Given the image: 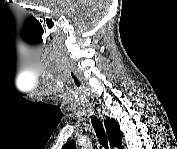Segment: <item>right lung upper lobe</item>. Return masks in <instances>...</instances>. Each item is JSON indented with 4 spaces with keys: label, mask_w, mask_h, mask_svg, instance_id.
<instances>
[{
    "label": "right lung upper lobe",
    "mask_w": 177,
    "mask_h": 149,
    "mask_svg": "<svg viewBox=\"0 0 177 149\" xmlns=\"http://www.w3.org/2000/svg\"><path fill=\"white\" fill-rule=\"evenodd\" d=\"M105 126L107 128L108 138L110 141V146L112 147H121V141L123 134L119 129V124L114 120H110L108 117L106 118ZM64 149H75L76 143L74 140L69 141L63 147Z\"/></svg>",
    "instance_id": "1"
}]
</instances>
